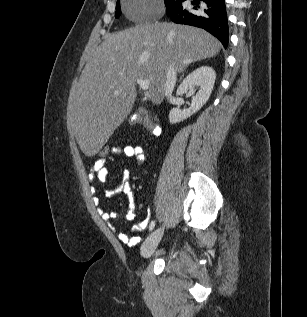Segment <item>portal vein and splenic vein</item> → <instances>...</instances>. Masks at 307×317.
Returning a JSON list of instances; mask_svg holds the SVG:
<instances>
[{"instance_id": "1", "label": "portal vein and splenic vein", "mask_w": 307, "mask_h": 317, "mask_svg": "<svg viewBox=\"0 0 307 317\" xmlns=\"http://www.w3.org/2000/svg\"><path fill=\"white\" fill-rule=\"evenodd\" d=\"M136 83L139 85V87L144 90L147 91L149 89V81L148 80H144V79H136Z\"/></svg>"}]
</instances>
